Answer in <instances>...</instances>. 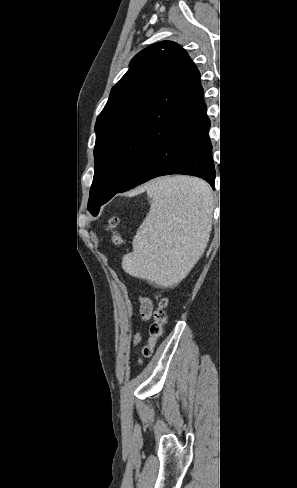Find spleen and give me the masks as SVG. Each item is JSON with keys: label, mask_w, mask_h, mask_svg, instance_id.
<instances>
[{"label": "spleen", "mask_w": 297, "mask_h": 488, "mask_svg": "<svg viewBox=\"0 0 297 488\" xmlns=\"http://www.w3.org/2000/svg\"><path fill=\"white\" fill-rule=\"evenodd\" d=\"M151 207L133 239L124 271L160 285L181 280L200 255L210 229L213 196L200 179L174 176L147 187Z\"/></svg>", "instance_id": "obj_1"}]
</instances>
